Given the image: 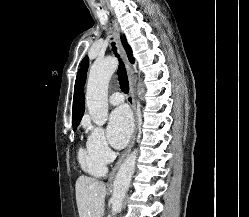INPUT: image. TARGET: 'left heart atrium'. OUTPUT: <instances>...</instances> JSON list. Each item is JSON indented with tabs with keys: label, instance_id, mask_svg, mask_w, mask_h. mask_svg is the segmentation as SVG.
<instances>
[{
	"label": "left heart atrium",
	"instance_id": "left-heart-atrium-1",
	"mask_svg": "<svg viewBox=\"0 0 249 217\" xmlns=\"http://www.w3.org/2000/svg\"><path fill=\"white\" fill-rule=\"evenodd\" d=\"M133 127L131 113L126 107L116 108L109 117L108 138L116 148H122L128 141Z\"/></svg>",
	"mask_w": 249,
	"mask_h": 217
}]
</instances>
